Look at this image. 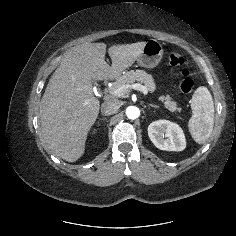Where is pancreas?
<instances>
[{"instance_id": "pancreas-1", "label": "pancreas", "mask_w": 236, "mask_h": 236, "mask_svg": "<svg viewBox=\"0 0 236 236\" xmlns=\"http://www.w3.org/2000/svg\"><path fill=\"white\" fill-rule=\"evenodd\" d=\"M144 83L147 91L153 93L156 90L155 80L152 75L147 74L144 70H131L117 77L116 82L109 88L110 92H113L122 85H132L134 82ZM159 101L163 102L166 109L170 112L178 111L177 102L173 101L169 95H162L158 98Z\"/></svg>"}]
</instances>
